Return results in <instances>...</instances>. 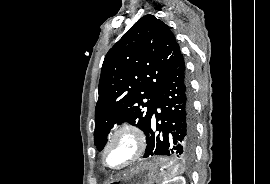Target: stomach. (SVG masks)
Here are the masks:
<instances>
[{
	"label": "stomach",
	"mask_w": 270,
	"mask_h": 184,
	"mask_svg": "<svg viewBox=\"0 0 270 184\" xmlns=\"http://www.w3.org/2000/svg\"><path fill=\"white\" fill-rule=\"evenodd\" d=\"M176 166L178 165H175L173 161L167 160L166 167H162V171H170ZM161 173L158 163L143 161L112 180L110 184H154L155 181L163 179Z\"/></svg>",
	"instance_id": "1"
}]
</instances>
